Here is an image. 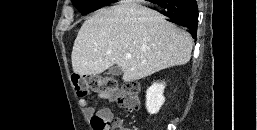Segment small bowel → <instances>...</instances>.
<instances>
[{
    "mask_svg": "<svg viewBox=\"0 0 257 130\" xmlns=\"http://www.w3.org/2000/svg\"><path fill=\"white\" fill-rule=\"evenodd\" d=\"M101 98L109 99L107 96L100 95ZM79 104L82 108H84L85 113L87 116H91L94 113V110L92 107L89 106L88 101L85 97L80 98ZM99 114H102L104 116H112V113L109 109H103L98 112Z\"/></svg>",
    "mask_w": 257,
    "mask_h": 130,
    "instance_id": "small-bowel-1",
    "label": "small bowel"
}]
</instances>
